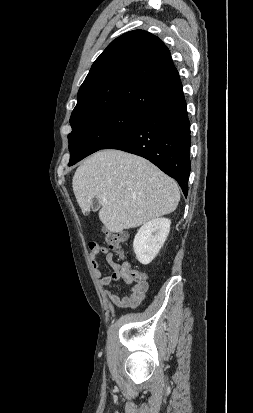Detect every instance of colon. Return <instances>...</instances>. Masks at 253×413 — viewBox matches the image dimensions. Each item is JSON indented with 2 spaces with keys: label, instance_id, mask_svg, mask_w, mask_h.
Returning <instances> with one entry per match:
<instances>
[{
  "label": "colon",
  "instance_id": "obj_1",
  "mask_svg": "<svg viewBox=\"0 0 253 413\" xmlns=\"http://www.w3.org/2000/svg\"><path fill=\"white\" fill-rule=\"evenodd\" d=\"M104 242L110 249L114 250L118 254H122V246L126 241V235L123 233H116L110 230H103ZM125 273L129 275L136 282H146L147 277L144 273L133 269L129 264L125 268Z\"/></svg>",
  "mask_w": 253,
  "mask_h": 413
}]
</instances>
